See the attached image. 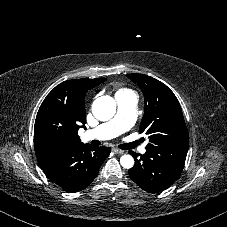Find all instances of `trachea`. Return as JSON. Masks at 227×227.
<instances>
[{"label": "trachea", "instance_id": "trachea-1", "mask_svg": "<svg viewBox=\"0 0 227 227\" xmlns=\"http://www.w3.org/2000/svg\"><path fill=\"white\" fill-rule=\"evenodd\" d=\"M134 146H135V145H133V144H122V145H120L119 147H120L121 149L126 150V149L133 148Z\"/></svg>", "mask_w": 227, "mask_h": 227}]
</instances>
